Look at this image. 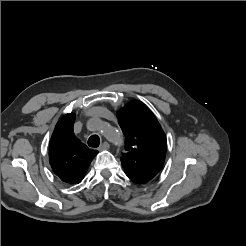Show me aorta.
<instances>
[{"label":"aorta","instance_id":"obj_1","mask_svg":"<svg viewBox=\"0 0 246 246\" xmlns=\"http://www.w3.org/2000/svg\"><path fill=\"white\" fill-rule=\"evenodd\" d=\"M98 130L110 142H112L114 144H119L122 142V135L118 130H116V129H114V128H112V127H110V126H108L102 122L98 123Z\"/></svg>","mask_w":246,"mask_h":246}]
</instances>
